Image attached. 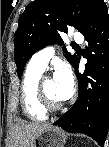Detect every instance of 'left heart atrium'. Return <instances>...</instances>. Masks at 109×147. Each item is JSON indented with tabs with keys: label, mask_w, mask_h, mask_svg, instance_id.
Instances as JSON below:
<instances>
[{
	"label": "left heart atrium",
	"mask_w": 109,
	"mask_h": 147,
	"mask_svg": "<svg viewBox=\"0 0 109 147\" xmlns=\"http://www.w3.org/2000/svg\"><path fill=\"white\" fill-rule=\"evenodd\" d=\"M54 81L61 100L69 99L74 92V77L71 68L61 63L57 66Z\"/></svg>",
	"instance_id": "1"
}]
</instances>
